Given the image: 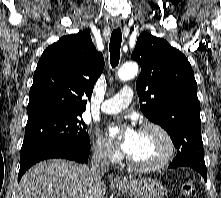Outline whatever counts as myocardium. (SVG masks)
I'll return each instance as SVG.
<instances>
[{
	"label": "myocardium",
	"mask_w": 221,
	"mask_h": 198,
	"mask_svg": "<svg viewBox=\"0 0 221 198\" xmlns=\"http://www.w3.org/2000/svg\"><path fill=\"white\" fill-rule=\"evenodd\" d=\"M144 130H154L156 131L164 140L165 142V152L163 156L152 164H139L133 161L129 155L126 156V163L127 165L135 171L138 172H154L166 167L170 161L172 160L175 152V144L174 141L169 134V132L162 127L161 125L153 122H147L141 125L140 131Z\"/></svg>",
	"instance_id": "obj_1"
}]
</instances>
